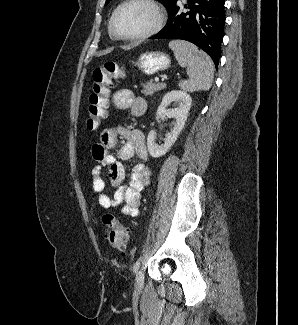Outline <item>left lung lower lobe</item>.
Here are the masks:
<instances>
[{"label": "left lung lower lobe", "mask_w": 298, "mask_h": 325, "mask_svg": "<svg viewBox=\"0 0 298 325\" xmlns=\"http://www.w3.org/2000/svg\"><path fill=\"white\" fill-rule=\"evenodd\" d=\"M179 0L170 6L166 26L150 39H183L194 43L204 50L214 61L219 63L221 42L225 24V0H190L181 13Z\"/></svg>", "instance_id": "1"}]
</instances>
